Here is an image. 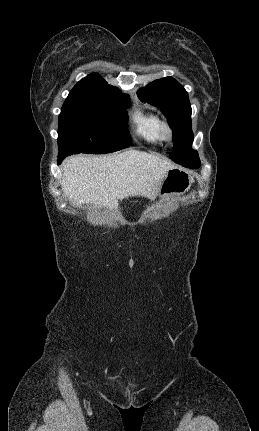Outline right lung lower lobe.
I'll return each instance as SVG.
<instances>
[{
	"label": "right lung lower lobe",
	"mask_w": 259,
	"mask_h": 431,
	"mask_svg": "<svg viewBox=\"0 0 259 431\" xmlns=\"http://www.w3.org/2000/svg\"><path fill=\"white\" fill-rule=\"evenodd\" d=\"M68 155L67 154H62V153H59V156H58V164H60L61 162H62V160L65 158V157H67Z\"/></svg>",
	"instance_id": "1"
}]
</instances>
